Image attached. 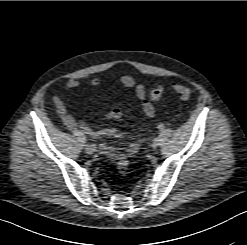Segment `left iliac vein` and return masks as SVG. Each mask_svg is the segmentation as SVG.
Instances as JSON below:
<instances>
[{
    "instance_id": "left-iliac-vein-1",
    "label": "left iliac vein",
    "mask_w": 247,
    "mask_h": 245,
    "mask_svg": "<svg viewBox=\"0 0 247 245\" xmlns=\"http://www.w3.org/2000/svg\"><path fill=\"white\" fill-rule=\"evenodd\" d=\"M159 145V139L155 138L152 142V148L155 150Z\"/></svg>"
}]
</instances>
